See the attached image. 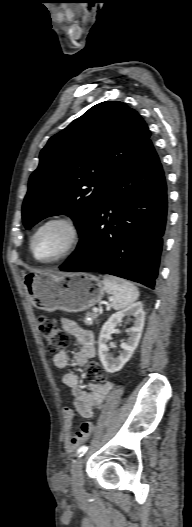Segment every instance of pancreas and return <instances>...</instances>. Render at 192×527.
<instances>
[{"label":"pancreas","mask_w":192,"mask_h":527,"mask_svg":"<svg viewBox=\"0 0 192 527\" xmlns=\"http://www.w3.org/2000/svg\"><path fill=\"white\" fill-rule=\"evenodd\" d=\"M98 314L96 312H88L86 318L84 319L85 324L92 325L94 322H97Z\"/></svg>","instance_id":"pancreas-1"}]
</instances>
